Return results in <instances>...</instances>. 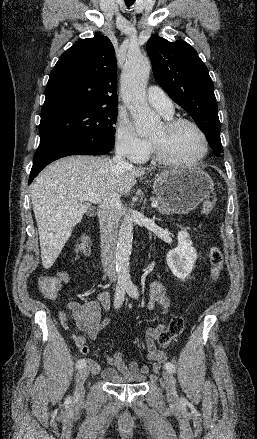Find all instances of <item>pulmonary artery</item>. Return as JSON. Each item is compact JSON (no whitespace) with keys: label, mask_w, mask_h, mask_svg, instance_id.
<instances>
[{"label":"pulmonary artery","mask_w":257,"mask_h":439,"mask_svg":"<svg viewBox=\"0 0 257 439\" xmlns=\"http://www.w3.org/2000/svg\"><path fill=\"white\" fill-rule=\"evenodd\" d=\"M147 100L163 116L171 117L173 115V104L160 87L150 86L147 90Z\"/></svg>","instance_id":"e3ab8cb5"}]
</instances>
